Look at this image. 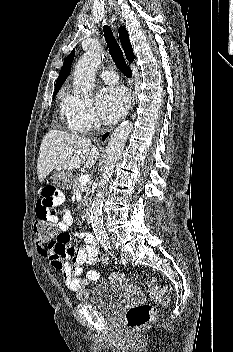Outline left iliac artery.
<instances>
[{
	"mask_svg": "<svg viewBox=\"0 0 233 352\" xmlns=\"http://www.w3.org/2000/svg\"><path fill=\"white\" fill-rule=\"evenodd\" d=\"M108 248L111 249L110 246H108ZM119 262H120L121 264H125V263H126V261H125V259H124L123 257H121V258L119 259Z\"/></svg>",
	"mask_w": 233,
	"mask_h": 352,
	"instance_id": "left-iliac-artery-1",
	"label": "left iliac artery"
}]
</instances>
